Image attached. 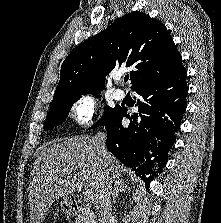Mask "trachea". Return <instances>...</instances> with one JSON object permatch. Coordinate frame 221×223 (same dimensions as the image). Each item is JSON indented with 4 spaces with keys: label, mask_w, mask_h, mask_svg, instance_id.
<instances>
[{
    "label": "trachea",
    "mask_w": 221,
    "mask_h": 223,
    "mask_svg": "<svg viewBox=\"0 0 221 223\" xmlns=\"http://www.w3.org/2000/svg\"><path fill=\"white\" fill-rule=\"evenodd\" d=\"M128 79H129V75H126V76L124 77V81L127 82Z\"/></svg>",
    "instance_id": "3493384b"
}]
</instances>
